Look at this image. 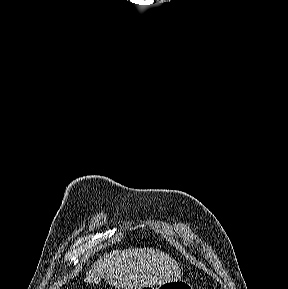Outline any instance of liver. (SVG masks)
Instances as JSON below:
<instances>
[{"label": "liver", "instance_id": "liver-1", "mask_svg": "<svg viewBox=\"0 0 288 289\" xmlns=\"http://www.w3.org/2000/svg\"><path fill=\"white\" fill-rule=\"evenodd\" d=\"M178 263L153 248L114 250L100 257L86 274L85 281L107 279L115 288L142 289L180 280Z\"/></svg>", "mask_w": 288, "mask_h": 289}]
</instances>
